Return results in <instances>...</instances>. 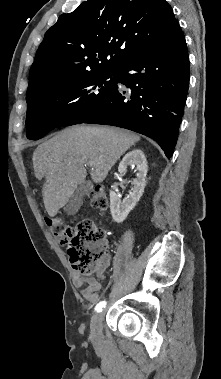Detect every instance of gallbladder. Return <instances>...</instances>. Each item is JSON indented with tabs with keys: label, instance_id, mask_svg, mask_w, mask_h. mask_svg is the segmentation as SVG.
I'll use <instances>...</instances> for the list:
<instances>
[{
	"label": "gallbladder",
	"instance_id": "obj_1",
	"mask_svg": "<svg viewBox=\"0 0 221 379\" xmlns=\"http://www.w3.org/2000/svg\"><path fill=\"white\" fill-rule=\"evenodd\" d=\"M89 191H90V183L89 182L81 183L75 189L69 201L67 202L64 208L65 212L68 215H74L75 213H77L83 204V198L89 193Z\"/></svg>",
	"mask_w": 221,
	"mask_h": 379
}]
</instances>
